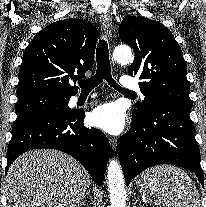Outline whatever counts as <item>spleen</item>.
<instances>
[{
	"label": "spleen",
	"instance_id": "obj_1",
	"mask_svg": "<svg viewBox=\"0 0 206 207\" xmlns=\"http://www.w3.org/2000/svg\"><path fill=\"white\" fill-rule=\"evenodd\" d=\"M138 181L155 194L158 203L168 207H200L198 190L193 181L182 169L162 165L143 172Z\"/></svg>",
	"mask_w": 206,
	"mask_h": 207
}]
</instances>
